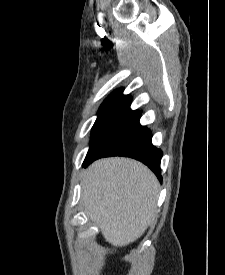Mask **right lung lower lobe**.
<instances>
[{
	"instance_id": "98d812e1",
	"label": "right lung lower lobe",
	"mask_w": 225,
	"mask_h": 275,
	"mask_svg": "<svg viewBox=\"0 0 225 275\" xmlns=\"http://www.w3.org/2000/svg\"><path fill=\"white\" fill-rule=\"evenodd\" d=\"M140 113L127 117L116 126L86 157L83 166L108 156L131 157L147 165L158 179L161 178L160 160L162 151L151 142V132L139 124Z\"/></svg>"
}]
</instances>
